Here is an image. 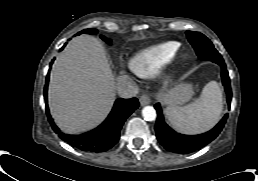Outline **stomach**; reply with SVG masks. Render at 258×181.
<instances>
[{
	"mask_svg": "<svg viewBox=\"0 0 258 181\" xmlns=\"http://www.w3.org/2000/svg\"><path fill=\"white\" fill-rule=\"evenodd\" d=\"M194 94L191 84L180 83L162 95V101L168 106H179L188 102Z\"/></svg>",
	"mask_w": 258,
	"mask_h": 181,
	"instance_id": "1",
	"label": "stomach"
}]
</instances>
